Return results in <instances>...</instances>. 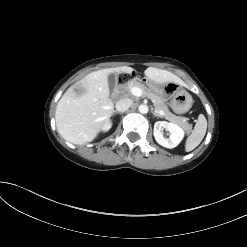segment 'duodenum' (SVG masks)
<instances>
[{"instance_id": "duodenum-1", "label": "duodenum", "mask_w": 247, "mask_h": 247, "mask_svg": "<svg viewBox=\"0 0 247 247\" xmlns=\"http://www.w3.org/2000/svg\"><path fill=\"white\" fill-rule=\"evenodd\" d=\"M130 81H133V83H144V85H149V80H145V78H136L134 75L130 78Z\"/></svg>"}]
</instances>
